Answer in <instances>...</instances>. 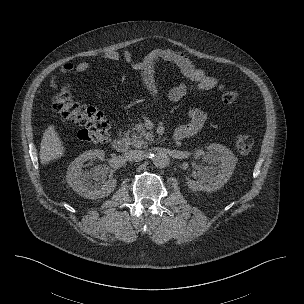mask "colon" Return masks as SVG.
<instances>
[{
  "instance_id": "obj_1",
  "label": "colon",
  "mask_w": 304,
  "mask_h": 304,
  "mask_svg": "<svg viewBox=\"0 0 304 304\" xmlns=\"http://www.w3.org/2000/svg\"><path fill=\"white\" fill-rule=\"evenodd\" d=\"M52 97V108L62 118L76 122L80 129L77 137L84 142L104 143L109 140L110 121L95 107L81 105L73 100L68 86H56ZM222 101L226 105L234 104L238 99L235 89L222 86ZM235 146L241 153H248L252 149L253 139L246 134L235 137Z\"/></svg>"
}]
</instances>
